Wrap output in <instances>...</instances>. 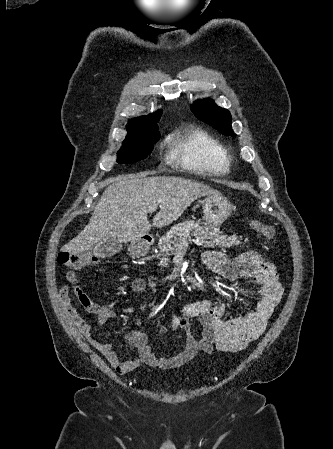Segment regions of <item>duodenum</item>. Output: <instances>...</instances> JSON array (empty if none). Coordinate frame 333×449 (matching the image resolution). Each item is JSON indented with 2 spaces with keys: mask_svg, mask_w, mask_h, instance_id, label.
<instances>
[{
  "mask_svg": "<svg viewBox=\"0 0 333 449\" xmlns=\"http://www.w3.org/2000/svg\"><path fill=\"white\" fill-rule=\"evenodd\" d=\"M153 242L154 239L152 236H145L139 239L132 246V254L136 257L145 255L152 247ZM150 285L156 287L157 283L154 280H151Z\"/></svg>",
  "mask_w": 333,
  "mask_h": 449,
  "instance_id": "duodenum-1",
  "label": "duodenum"
}]
</instances>
